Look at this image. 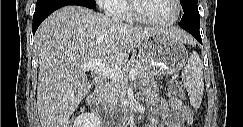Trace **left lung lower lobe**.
<instances>
[{
    "label": "left lung lower lobe",
    "instance_id": "1",
    "mask_svg": "<svg viewBox=\"0 0 243 127\" xmlns=\"http://www.w3.org/2000/svg\"><path fill=\"white\" fill-rule=\"evenodd\" d=\"M180 27L188 31L199 43L202 44L200 36V16L197 9L184 10L183 17L179 23Z\"/></svg>",
    "mask_w": 243,
    "mask_h": 127
}]
</instances>
